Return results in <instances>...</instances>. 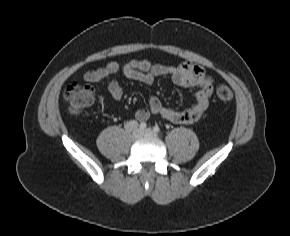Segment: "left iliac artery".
<instances>
[{
	"label": "left iliac artery",
	"instance_id": "1",
	"mask_svg": "<svg viewBox=\"0 0 290 236\" xmlns=\"http://www.w3.org/2000/svg\"><path fill=\"white\" fill-rule=\"evenodd\" d=\"M153 130L156 132V133H159L160 132V127L158 125H155L153 127Z\"/></svg>",
	"mask_w": 290,
	"mask_h": 236
}]
</instances>
